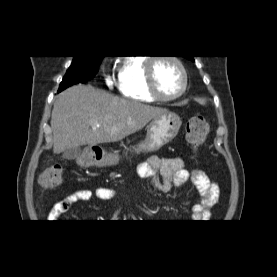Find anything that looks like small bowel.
<instances>
[{"instance_id":"1","label":"small bowel","mask_w":277,"mask_h":277,"mask_svg":"<svg viewBox=\"0 0 277 277\" xmlns=\"http://www.w3.org/2000/svg\"><path fill=\"white\" fill-rule=\"evenodd\" d=\"M137 175L149 179L153 186L162 192L179 188L185 182L191 180L202 197L201 202L193 207V218L195 220L208 219L211 216L212 208L218 203L220 197V189L217 183L211 181L201 170H188L185 167L184 160L179 157H151L147 162L138 166ZM116 196V192L109 188L75 190L54 204L47 215V220L48 222H58L57 220L63 217L78 202L89 201L93 198L111 200Z\"/></svg>"}]
</instances>
